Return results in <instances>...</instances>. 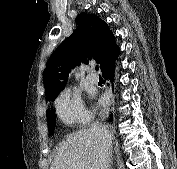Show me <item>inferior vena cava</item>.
I'll return each instance as SVG.
<instances>
[{
  "label": "inferior vena cava",
  "mask_w": 177,
  "mask_h": 169,
  "mask_svg": "<svg viewBox=\"0 0 177 169\" xmlns=\"http://www.w3.org/2000/svg\"><path fill=\"white\" fill-rule=\"evenodd\" d=\"M91 131L96 135L100 145L101 169H111L112 137L110 133L104 126L97 123L92 124Z\"/></svg>",
  "instance_id": "inferior-vena-cava-1"
}]
</instances>
